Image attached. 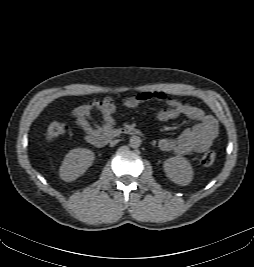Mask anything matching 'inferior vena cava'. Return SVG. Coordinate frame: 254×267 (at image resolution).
Returning <instances> with one entry per match:
<instances>
[{"label":"inferior vena cava","mask_w":254,"mask_h":267,"mask_svg":"<svg viewBox=\"0 0 254 267\" xmlns=\"http://www.w3.org/2000/svg\"><path fill=\"white\" fill-rule=\"evenodd\" d=\"M117 143H118V140H113V141L110 142V146H114V145H116Z\"/></svg>","instance_id":"602c4592"}]
</instances>
